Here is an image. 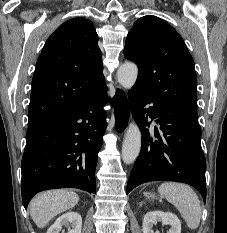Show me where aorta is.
Returning <instances> with one entry per match:
<instances>
[{"label":"aorta","mask_w":227,"mask_h":233,"mask_svg":"<svg viewBox=\"0 0 227 233\" xmlns=\"http://www.w3.org/2000/svg\"><path fill=\"white\" fill-rule=\"evenodd\" d=\"M137 76L138 67L134 63L126 62L118 68V82L126 89H130L135 84ZM140 149L141 132L136 123L131 121L127 127L122 145L123 162L126 164H132L138 157Z\"/></svg>","instance_id":"obj_1"}]
</instances>
